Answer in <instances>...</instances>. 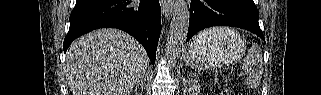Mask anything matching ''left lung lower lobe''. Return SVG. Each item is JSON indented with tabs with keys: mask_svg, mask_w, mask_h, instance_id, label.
<instances>
[{
	"mask_svg": "<svg viewBox=\"0 0 321 95\" xmlns=\"http://www.w3.org/2000/svg\"><path fill=\"white\" fill-rule=\"evenodd\" d=\"M258 19L253 0H192L186 42L197 32L212 26L239 27L264 40Z\"/></svg>",
	"mask_w": 321,
	"mask_h": 95,
	"instance_id": "0a47b994",
	"label": "left lung lower lobe"
}]
</instances>
